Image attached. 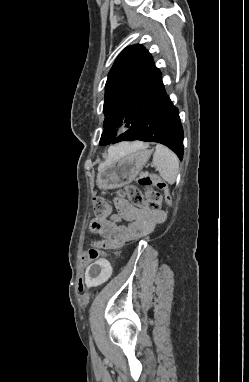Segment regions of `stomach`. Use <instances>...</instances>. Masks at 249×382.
I'll return each mask as SVG.
<instances>
[{"mask_svg": "<svg viewBox=\"0 0 249 382\" xmlns=\"http://www.w3.org/2000/svg\"><path fill=\"white\" fill-rule=\"evenodd\" d=\"M152 155L146 147L117 156L99 170L97 186L100 189H114L132 182L142 171Z\"/></svg>", "mask_w": 249, "mask_h": 382, "instance_id": "1", "label": "stomach"}]
</instances>
